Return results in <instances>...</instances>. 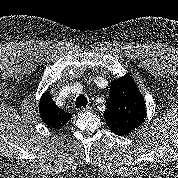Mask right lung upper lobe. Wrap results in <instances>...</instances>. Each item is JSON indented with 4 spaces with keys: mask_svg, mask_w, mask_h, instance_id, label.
<instances>
[{
    "mask_svg": "<svg viewBox=\"0 0 178 178\" xmlns=\"http://www.w3.org/2000/svg\"><path fill=\"white\" fill-rule=\"evenodd\" d=\"M39 113L46 125L56 129L63 127L72 117L56 106L48 92H45L40 99Z\"/></svg>",
    "mask_w": 178,
    "mask_h": 178,
    "instance_id": "1",
    "label": "right lung upper lobe"
}]
</instances>
